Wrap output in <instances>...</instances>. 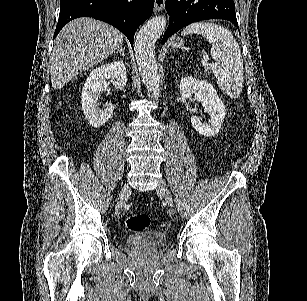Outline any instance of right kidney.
Masks as SVG:
<instances>
[{"label":"right kidney","mask_w":307,"mask_h":301,"mask_svg":"<svg viewBox=\"0 0 307 301\" xmlns=\"http://www.w3.org/2000/svg\"><path fill=\"white\" fill-rule=\"evenodd\" d=\"M110 82L117 86H125L127 72L123 60H114L109 64H101L91 70L82 88V110L91 126L99 128L111 118L114 112L113 104H106V108L98 110L99 96L103 90H107Z\"/></svg>","instance_id":"obj_1"}]
</instances>
